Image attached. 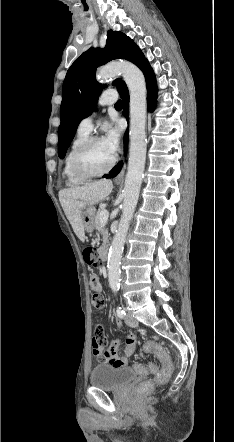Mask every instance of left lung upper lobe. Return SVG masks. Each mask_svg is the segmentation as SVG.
Segmentation results:
<instances>
[{"instance_id":"1","label":"left lung upper lobe","mask_w":234,"mask_h":442,"mask_svg":"<svg viewBox=\"0 0 234 442\" xmlns=\"http://www.w3.org/2000/svg\"><path fill=\"white\" fill-rule=\"evenodd\" d=\"M114 59H126L139 68L146 58L139 47L125 34L109 30L104 49L90 48L77 58L67 71L63 83L58 129V156L64 158L75 135L78 124L95 108L102 87L95 80L96 68ZM118 91L125 82L113 81Z\"/></svg>"}]
</instances>
